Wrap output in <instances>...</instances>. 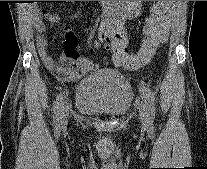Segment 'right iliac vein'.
Wrapping results in <instances>:
<instances>
[{"label":"right iliac vein","mask_w":207,"mask_h":169,"mask_svg":"<svg viewBox=\"0 0 207 169\" xmlns=\"http://www.w3.org/2000/svg\"><path fill=\"white\" fill-rule=\"evenodd\" d=\"M68 117V111L65 109L62 113V118H61V125H65Z\"/></svg>","instance_id":"right-iliac-vein-1"}]
</instances>
